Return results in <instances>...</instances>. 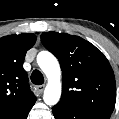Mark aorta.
I'll return each instance as SVG.
<instances>
[{
  "label": "aorta",
  "mask_w": 119,
  "mask_h": 119,
  "mask_svg": "<svg viewBox=\"0 0 119 119\" xmlns=\"http://www.w3.org/2000/svg\"><path fill=\"white\" fill-rule=\"evenodd\" d=\"M37 63L48 79L44 91V102L53 106L61 97V69L56 57L48 51H41L37 55Z\"/></svg>",
  "instance_id": "aorta-1"
}]
</instances>
